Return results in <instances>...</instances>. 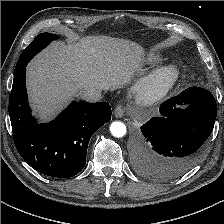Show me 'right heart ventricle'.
I'll use <instances>...</instances> for the list:
<instances>
[{
    "label": "right heart ventricle",
    "instance_id": "obj_1",
    "mask_svg": "<svg viewBox=\"0 0 224 224\" xmlns=\"http://www.w3.org/2000/svg\"><path fill=\"white\" fill-rule=\"evenodd\" d=\"M162 59H163V57L160 54L151 53L146 57L145 63L147 65H154V64L160 62Z\"/></svg>",
    "mask_w": 224,
    "mask_h": 224
}]
</instances>
